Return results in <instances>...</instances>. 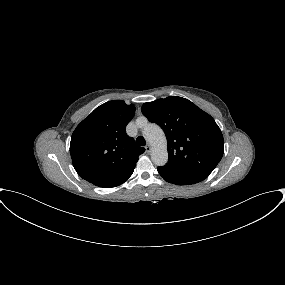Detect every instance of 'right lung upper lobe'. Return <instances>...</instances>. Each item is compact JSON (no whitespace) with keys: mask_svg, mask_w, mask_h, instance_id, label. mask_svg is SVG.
Masks as SVG:
<instances>
[{"mask_svg":"<svg viewBox=\"0 0 285 285\" xmlns=\"http://www.w3.org/2000/svg\"><path fill=\"white\" fill-rule=\"evenodd\" d=\"M134 114L132 104L113 100L97 107L76 127L70 154L80 177L96 186L111 188L132 175L139 155L145 151L125 132Z\"/></svg>","mask_w":285,"mask_h":285,"instance_id":"1","label":"right lung upper lobe"}]
</instances>
